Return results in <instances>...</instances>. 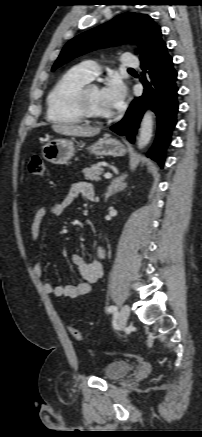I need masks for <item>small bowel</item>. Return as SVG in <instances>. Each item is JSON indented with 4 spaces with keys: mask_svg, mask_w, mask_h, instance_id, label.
Masks as SVG:
<instances>
[{
    "mask_svg": "<svg viewBox=\"0 0 202 437\" xmlns=\"http://www.w3.org/2000/svg\"><path fill=\"white\" fill-rule=\"evenodd\" d=\"M81 196L87 200L95 197V192L92 184L88 182L74 183L66 197L61 201H55L50 206H43L37 210L31 224V238L36 242L40 236L41 225L43 219L47 215L54 217L61 216L73 203L75 198ZM104 257V250L102 247L98 248L97 257L87 260L83 255L75 253L72 255V263L76 266L82 281L76 285H58L53 286L50 282H44L42 288L45 293L53 294L56 297H68L72 299L80 298L91 292L94 283L101 277L103 272L102 258ZM34 274L37 278H42V263L38 259L33 268Z\"/></svg>",
    "mask_w": 202,
    "mask_h": 437,
    "instance_id": "1",
    "label": "small bowel"
}]
</instances>
